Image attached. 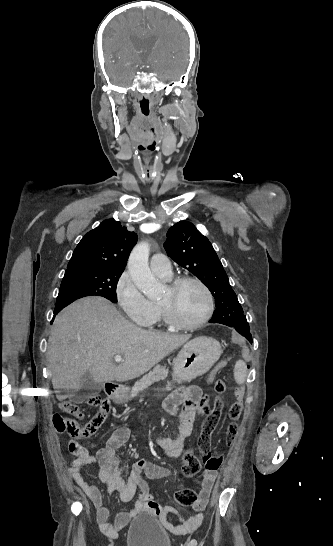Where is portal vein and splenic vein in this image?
Wrapping results in <instances>:
<instances>
[{
  "label": "portal vein and splenic vein",
  "instance_id": "1",
  "mask_svg": "<svg viewBox=\"0 0 333 546\" xmlns=\"http://www.w3.org/2000/svg\"><path fill=\"white\" fill-rule=\"evenodd\" d=\"M114 361H115L116 363H120V362L123 361V358H122V356H120V355H116V356L114 357Z\"/></svg>",
  "mask_w": 333,
  "mask_h": 546
}]
</instances>
